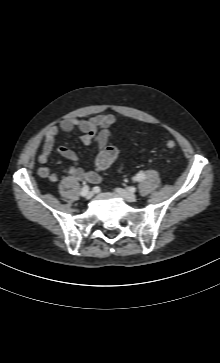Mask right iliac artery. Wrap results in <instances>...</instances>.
I'll return each mask as SVG.
<instances>
[{
  "label": "right iliac artery",
  "mask_w": 220,
  "mask_h": 363,
  "mask_svg": "<svg viewBox=\"0 0 220 363\" xmlns=\"http://www.w3.org/2000/svg\"><path fill=\"white\" fill-rule=\"evenodd\" d=\"M89 192V187L85 185L81 190V196H85Z\"/></svg>",
  "instance_id": "82829eb1"
}]
</instances>
